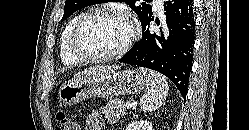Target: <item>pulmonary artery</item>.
<instances>
[{"mask_svg": "<svg viewBox=\"0 0 249 130\" xmlns=\"http://www.w3.org/2000/svg\"><path fill=\"white\" fill-rule=\"evenodd\" d=\"M154 1V6L157 10L162 11L163 7V0H153Z\"/></svg>", "mask_w": 249, "mask_h": 130, "instance_id": "pulmonary-artery-1", "label": "pulmonary artery"}]
</instances>
